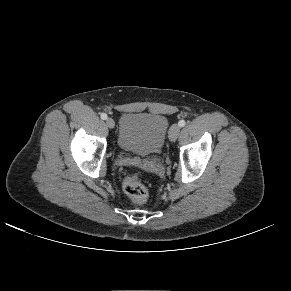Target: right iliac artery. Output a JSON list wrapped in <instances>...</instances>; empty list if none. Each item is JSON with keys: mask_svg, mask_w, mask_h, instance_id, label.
<instances>
[{"mask_svg": "<svg viewBox=\"0 0 291 291\" xmlns=\"http://www.w3.org/2000/svg\"><path fill=\"white\" fill-rule=\"evenodd\" d=\"M101 119L106 120V119H107V114L102 113V114H101Z\"/></svg>", "mask_w": 291, "mask_h": 291, "instance_id": "82829eb1", "label": "right iliac artery"}]
</instances>
